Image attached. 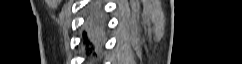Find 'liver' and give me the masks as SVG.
I'll list each match as a JSON object with an SVG mask.
<instances>
[{"label": "liver", "instance_id": "1", "mask_svg": "<svg viewBox=\"0 0 242 64\" xmlns=\"http://www.w3.org/2000/svg\"><path fill=\"white\" fill-rule=\"evenodd\" d=\"M87 32L89 38L94 42L99 41L102 34V30L95 28L93 25H89Z\"/></svg>", "mask_w": 242, "mask_h": 64}]
</instances>
